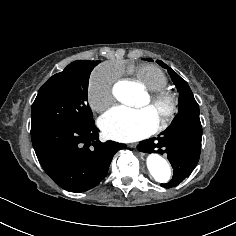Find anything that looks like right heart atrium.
<instances>
[{"mask_svg": "<svg viewBox=\"0 0 236 236\" xmlns=\"http://www.w3.org/2000/svg\"><path fill=\"white\" fill-rule=\"evenodd\" d=\"M118 74L108 65L94 69L88 82V99L93 110L102 112L114 102V84Z\"/></svg>", "mask_w": 236, "mask_h": 236, "instance_id": "1", "label": "right heart atrium"}]
</instances>
